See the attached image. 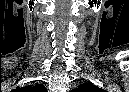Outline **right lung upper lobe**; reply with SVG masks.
Segmentation results:
<instances>
[{
  "label": "right lung upper lobe",
  "mask_w": 129,
  "mask_h": 92,
  "mask_svg": "<svg viewBox=\"0 0 129 92\" xmlns=\"http://www.w3.org/2000/svg\"><path fill=\"white\" fill-rule=\"evenodd\" d=\"M19 91L21 92H39V91H45V87L43 85L37 84L36 86H25L22 88H19Z\"/></svg>",
  "instance_id": "right-lung-upper-lobe-1"
}]
</instances>
